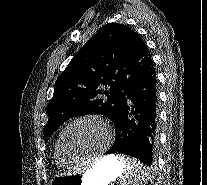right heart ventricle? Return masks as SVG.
Here are the masks:
<instances>
[{"instance_id": "e07e8e85", "label": "right heart ventricle", "mask_w": 207, "mask_h": 185, "mask_svg": "<svg viewBox=\"0 0 207 185\" xmlns=\"http://www.w3.org/2000/svg\"><path fill=\"white\" fill-rule=\"evenodd\" d=\"M60 135L58 136L57 141L55 143V148H54L55 159L58 162V164H60V165L72 164V161L68 160L61 152V149H60Z\"/></svg>"}]
</instances>
